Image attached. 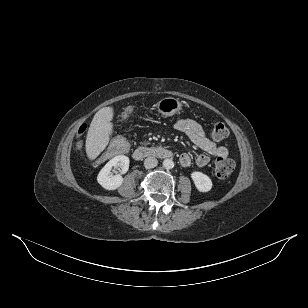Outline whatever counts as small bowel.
Instances as JSON below:
<instances>
[{
  "instance_id": "small-bowel-1",
  "label": "small bowel",
  "mask_w": 308,
  "mask_h": 308,
  "mask_svg": "<svg viewBox=\"0 0 308 308\" xmlns=\"http://www.w3.org/2000/svg\"><path fill=\"white\" fill-rule=\"evenodd\" d=\"M175 128L184 133L197 148L204 153L196 157V164L199 167L206 166L210 161V156L227 157L228 149L218 146L215 142L206 137L202 126L192 119H181L175 123ZM182 166H189L192 158L189 154L183 153L179 158Z\"/></svg>"
}]
</instances>
